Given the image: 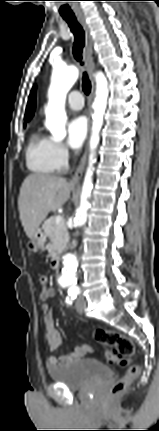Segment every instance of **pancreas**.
Returning a JSON list of instances; mask_svg holds the SVG:
<instances>
[{"label":"pancreas","instance_id":"pancreas-1","mask_svg":"<svg viewBox=\"0 0 159 431\" xmlns=\"http://www.w3.org/2000/svg\"><path fill=\"white\" fill-rule=\"evenodd\" d=\"M55 218L56 216H51L42 226L45 236L50 240V245L47 247L50 256H54L57 252L62 251L68 241L65 222L62 221L60 224H56Z\"/></svg>","mask_w":159,"mask_h":431}]
</instances>
